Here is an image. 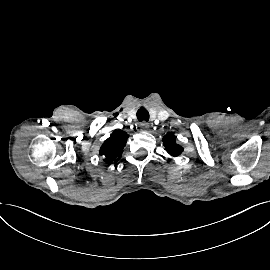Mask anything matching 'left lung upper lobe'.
Instances as JSON below:
<instances>
[{
  "mask_svg": "<svg viewBox=\"0 0 270 270\" xmlns=\"http://www.w3.org/2000/svg\"><path fill=\"white\" fill-rule=\"evenodd\" d=\"M163 145L166 151L173 157H177L183 151V148L176 144L175 135L173 133H168L163 137Z\"/></svg>",
  "mask_w": 270,
  "mask_h": 270,
  "instance_id": "left-lung-upper-lobe-1",
  "label": "left lung upper lobe"
}]
</instances>
